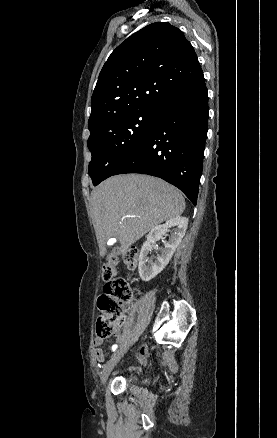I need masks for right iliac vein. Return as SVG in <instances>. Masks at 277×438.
<instances>
[{"mask_svg": "<svg viewBox=\"0 0 277 438\" xmlns=\"http://www.w3.org/2000/svg\"><path fill=\"white\" fill-rule=\"evenodd\" d=\"M126 351H127L126 347L116 350L114 354L111 356V359L105 364L100 376L102 385L106 383L111 371L116 366V364L120 361V359L123 357Z\"/></svg>", "mask_w": 277, "mask_h": 438, "instance_id": "63e3f726", "label": "right iliac vein"}]
</instances>
